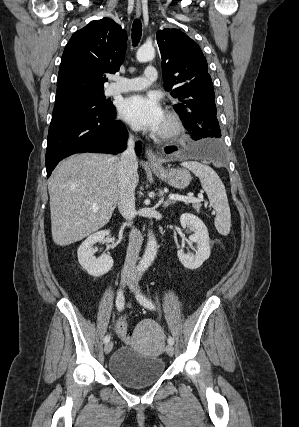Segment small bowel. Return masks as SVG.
Listing matches in <instances>:
<instances>
[{"mask_svg": "<svg viewBox=\"0 0 299 427\" xmlns=\"http://www.w3.org/2000/svg\"><path fill=\"white\" fill-rule=\"evenodd\" d=\"M119 321V320H118ZM117 321V322H118ZM117 322L115 323V325H114V329H115V332L117 333V329H116V325H117ZM117 335L119 336V338L121 339V340H123V341H126V340H128L129 339V337H125V336H123V335H120V334H118L117 333Z\"/></svg>", "mask_w": 299, "mask_h": 427, "instance_id": "c3829d8e", "label": "small bowel"}]
</instances>
